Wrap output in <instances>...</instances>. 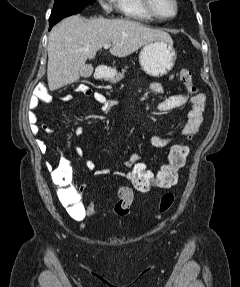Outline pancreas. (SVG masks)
I'll list each match as a JSON object with an SVG mask.
<instances>
[{
    "label": "pancreas",
    "mask_w": 240,
    "mask_h": 287,
    "mask_svg": "<svg viewBox=\"0 0 240 287\" xmlns=\"http://www.w3.org/2000/svg\"><path fill=\"white\" fill-rule=\"evenodd\" d=\"M125 71H126V69H123L121 73H118L116 76L112 77V78L110 79V81H111L112 83H116V82L120 81V80L124 77ZM173 78H174V76L172 75V76L170 77V79H173Z\"/></svg>",
    "instance_id": "1"
}]
</instances>
